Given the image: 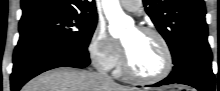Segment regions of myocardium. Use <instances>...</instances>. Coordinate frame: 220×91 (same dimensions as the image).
<instances>
[{"mask_svg":"<svg viewBox=\"0 0 220 91\" xmlns=\"http://www.w3.org/2000/svg\"><path fill=\"white\" fill-rule=\"evenodd\" d=\"M138 31L154 36L159 42L165 57V63L163 69L156 75L145 76L136 73L130 65L127 52L125 47L122 46V71L130 79L143 83H155L166 78L173 69V54L171 48L165 39V37L156 29L152 27L140 26L137 28Z\"/></svg>","mask_w":220,"mask_h":91,"instance_id":"obj_1","label":"myocardium"}]
</instances>
